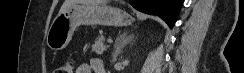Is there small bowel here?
Instances as JSON below:
<instances>
[{"label":"small bowel","mask_w":244,"mask_h":73,"mask_svg":"<svg viewBox=\"0 0 244 73\" xmlns=\"http://www.w3.org/2000/svg\"><path fill=\"white\" fill-rule=\"evenodd\" d=\"M76 73H106L102 60L94 58L78 66Z\"/></svg>","instance_id":"c3829d8e"}]
</instances>
